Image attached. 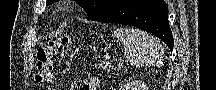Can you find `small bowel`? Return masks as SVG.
Returning a JSON list of instances; mask_svg holds the SVG:
<instances>
[{
    "label": "small bowel",
    "instance_id": "obj_1",
    "mask_svg": "<svg viewBox=\"0 0 216 90\" xmlns=\"http://www.w3.org/2000/svg\"><path fill=\"white\" fill-rule=\"evenodd\" d=\"M98 86L99 83L96 78L88 77L80 82L78 90H97ZM50 90H58V89H50Z\"/></svg>",
    "mask_w": 216,
    "mask_h": 90
}]
</instances>
